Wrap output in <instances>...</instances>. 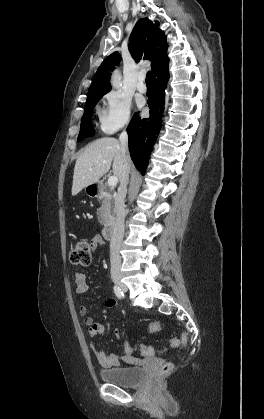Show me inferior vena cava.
<instances>
[{"mask_svg":"<svg viewBox=\"0 0 264 419\" xmlns=\"http://www.w3.org/2000/svg\"><path fill=\"white\" fill-rule=\"evenodd\" d=\"M121 152L123 158V174L120 181V187L118 189V194L115 204V213L116 219L113 224V233L110 241V261H111V270H120L121 268V257H120V248L124 236V219H125V209H124V200L127 192V184L129 180V171H130V156L128 151V134L126 131H123L119 137Z\"/></svg>","mask_w":264,"mask_h":419,"instance_id":"inferior-vena-cava-1","label":"inferior vena cava"}]
</instances>
